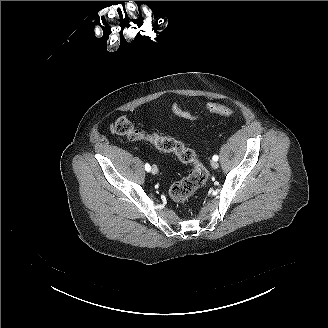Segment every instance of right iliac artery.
Listing matches in <instances>:
<instances>
[{
  "label": "right iliac artery",
  "instance_id": "1",
  "mask_svg": "<svg viewBox=\"0 0 328 328\" xmlns=\"http://www.w3.org/2000/svg\"><path fill=\"white\" fill-rule=\"evenodd\" d=\"M145 170L148 172L151 170V167L148 163L145 164Z\"/></svg>",
  "mask_w": 328,
  "mask_h": 328
}]
</instances>
